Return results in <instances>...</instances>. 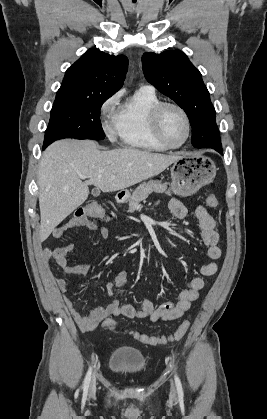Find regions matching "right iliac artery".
I'll return each instance as SVG.
<instances>
[{
    "mask_svg": "<svg viewBox=\"0 0 267 419\" xmlns=\"http://www.w3.org/2000/svg\"><path fill=\"white\" fill-rule=\"evenodd\" d=\"M91 375H92V367L89 368L85 380H84V385H83V390H84V394L87 395L88 392V388H89V384H90V380H91Z\"/></svg>",
    "mask_w": 267,
    "mask_h": 419,
    "instance_id": "obj_1",
    "label": "right iliac artery"
}]
</instances>
